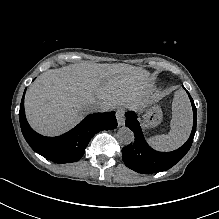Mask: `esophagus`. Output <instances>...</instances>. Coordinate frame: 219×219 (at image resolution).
Wrapping results in <instances>:
<instances>
[{"label": "esophagus", "instance_id": "1", "mask_svg": "<svg viewBox=\"0 0 219 219\" xmlns=\"http://www.w3.org/2000/svg\"><path fill=\"white\" fill-rule=\"evenodd\" d=\"M124 109L119 108L116 111L117 123L119 126H123L125 124V116H124Z\"/></svg>", "mask_w": 219, "mask_h": 219}]
</instances>
